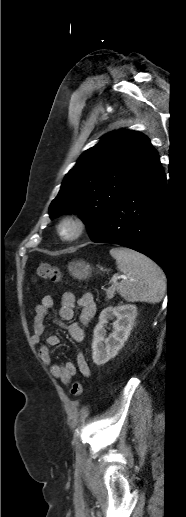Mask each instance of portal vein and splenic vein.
<instances>
[{"instance_id": "obj_1", "label": "portal vein and splenic vein", "mask_w": 186, "mask_h": 517, "mask_svg": "<svg viewBox=\"0 0 186 517\" xmlns=\"http://www.w3.org/2000/svg\"><path fill=\"white\" fill-rule=\"evenodd\" d=\"M119 279H126V276L125 275H114L111 279V282L113 285H116L117 284V280Z\"/></svg>"}]
</instances>
